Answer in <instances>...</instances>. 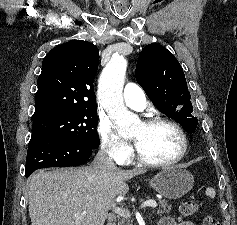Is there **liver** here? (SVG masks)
<instances>
[{
	"label": "liver",
	"instance_id": "obj_1",
	"mask_svg": "<svg viewBox=\"0 0 237 225\" xmlns=\"http://www.w3.org/2000/svg\"><path fill=\"white\" fill-rule=\"evenodd\" d=\"M146 170L100 172L92 165L42 170L28 183L32 225H104L116 196L129 191L125 180Z\"/></svg>",
	"mask_w": 237,
	"mask_h": 225
}]
</instances>
